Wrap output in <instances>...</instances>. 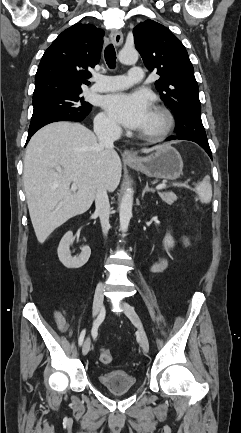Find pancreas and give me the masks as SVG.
<instances>
[{
	"instance_id": "cf45deb5",
	"label": "pancreas",
	"mask_w": 241,
	"mask_h": 433,
	"mask_svg": "<svg viewBox=\"0 0 241 433\" xmlns=\"http://www.w3.org/2000/svg\"><path fill=\"white\" fill-rule=\"evenodd\" d=\"M158 194L168 205L173 204L177 200V196L173 192H159Z\"/></svg>"
}]
</instances>
